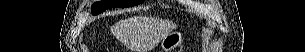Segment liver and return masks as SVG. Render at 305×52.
I'll use <instances>...</instances> for the list:
<instances>
[{
	"label": "liver",
	"instance_id": "obj_1",
	"mask_svg": "<svg viewBox=\"0 0 305 52\" xmlns=\"http://www.w3.org/2000/svg\"><path fill=\"white\" fill-rule=\"evenodd\" d=\"M139 20L134 18H128L116 23L113 27H111V33L115 36H120L122 33H126L129 30H132L138 25ZM176 28V25L171 24L170 22H164L158 26L157 35L151 44L152 47L158 45V43L170 32H172Z\"/></svg>",
	"mask_w": 305,
	"mask_h": 52
}]
</instances>
